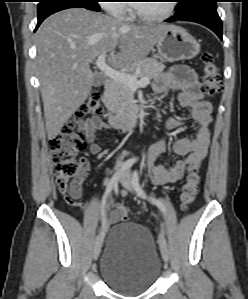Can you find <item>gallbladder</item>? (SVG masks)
Instances as JSON below:
<instances>
[{
	"label": "gallbladder",
	"mask_w": 248,
	"mask_h": 299,
	"mask_svg": "<svg viewBox=\"0 0 248 299\" xmlns=\"http://www.w3.org/2000/svg\"><path fill=\"white\" fill-rule=\"evenodd\" d=\"M104 83V79L101 75L95 74L93 77V86H101Z\"/></svg>",
	"instance_id": "1"
}]
</instances>
